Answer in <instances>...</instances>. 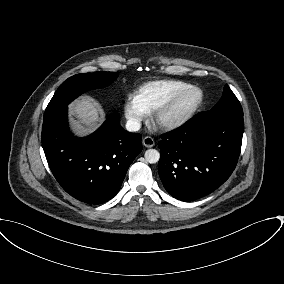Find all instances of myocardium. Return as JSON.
Returning a JSON list of instances; mask_svg holds the SVG:
<instances>
[{
    "instance_id": "myocardium-1",
    "label": "myocardium",
    "mask_w": 284,
    "mask_h": 284,
    "mask_svg": "<svg viewBox=\"0 0 284 284\" xmlns=\"http://www.w3.org/2000/svg\"><path fill=\"white\" fill-rule=\"evenodd\" d=\"M191 92L198 93V99L188 109L177 111L181 101ZM204 102V92L198 86H188L181 90L166 103L156 109L153 113L152 121L156 127L162 130H174L185 125L201 108Z\"/></svg>"
}]
</instances>
